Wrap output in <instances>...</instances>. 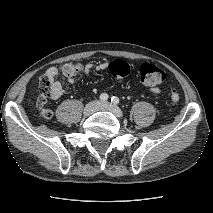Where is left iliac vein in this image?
<instances>
[{"instance_id":"obj_1","label":"left iliac vein","mask_w":213,"mask_h":213,"mask_svg":"<svg viewBox=\"0 0 213 213\" xmlns=\"http://www.w3.org/2000/svg\"><path fill=\"white\" fill-rule=\"evenodd\" d=\"M99 110L109 111V112H112L117 117H123L122 110L118 106L111 104L109 102L101 103L99 106Z\"/></svg>"}]
</instances>
